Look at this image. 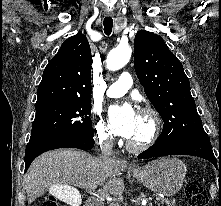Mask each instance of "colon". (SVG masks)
<instances>
[{
    "label": "colon",
    "mask_w": 221,
    "mask_h": 206,
    "mask_svg": "<svg viewBox=\"0 0 221 206\" xmlns=\"http://www.w3.org/2000/svg\"><path fill=\"white\" fill-rule=\"evenodd\" d=\"M185 192L190 206H208L207 194L197 180L188 179L185 185ZM42 206L60 205L55 199L47 197L44 199Z\"/></svg>",
    "instance_id": "obj_1"
}]
</instances>
